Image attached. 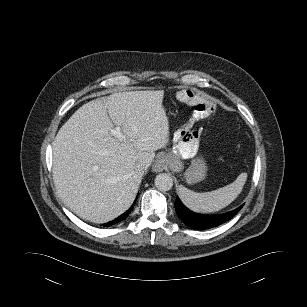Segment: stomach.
I'll list each match as a JSON object with an SVG mask.
<instances>
[{
    "label": "stomach",
    "instance_id": "1",
    "mask_svg": "<svg viewBox=\"0 0 307 307\" xmlns=\"http://www.w3.org/2000/svg\"><path fill=\"white\" fill-rule=\"evenodd\" d=\"M198 144V132L186 134L183 138L175 136L172 150L164 156L166 167L174 172L182 171L184 168L182 160L194 157L198 150ZM206 174V161L203 157H195L183 176L188 184H194L204 180Z\"/></svg>",
    "mask_w": 307,
    "mask_h": 307
}]
</instances>
